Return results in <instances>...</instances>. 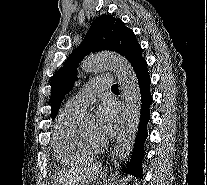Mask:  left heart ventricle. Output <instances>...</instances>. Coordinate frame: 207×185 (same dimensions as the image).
<instances>
[{
	"mask_svg": "<svg viewBox=\"0 0 207 185\" xmlns=\"http://www.w3.org/2000/svg\"><path fill=\"white\" fill-rule=\"evenodd\" d=\"M83 131L90 135V136H93L95 137L97 140H104L96 131V127L94 125V122H90V123H87L85 124L83 127H82Z\"/></svg>",
	"mask_w": 207,
	"mask_h": 185,
	"instance_id": "1",
	"label": "left heart ventricle"
}]
</instances>
